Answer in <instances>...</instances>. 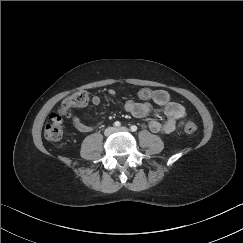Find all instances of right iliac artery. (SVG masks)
<instances>
[{"mask_svg": "<svg viewBox=\"0 0 243 243\" xmlns=\"http://www.w3.org/2000/svg\"><path fill=\"white\" fill-rule=\"evenodd\" d=\"M114 126H115L116 128H118V127H120V126H121V124H120V122H119V121H116V122L114 123Z\"/></svg>", "mask_w": 243, "mask_h": 243, "instance_id": "obj_1", "label": "right iliac artery"}]
</instances>
